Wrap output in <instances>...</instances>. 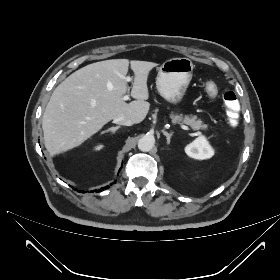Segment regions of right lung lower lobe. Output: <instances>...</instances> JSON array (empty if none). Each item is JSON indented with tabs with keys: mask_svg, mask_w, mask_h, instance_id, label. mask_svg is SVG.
<instances>
[{
	"mask_svg": "<svg viewBox=\"0 0 280 280\" xmlns=\"http://www.w3.org/2000/svg\"><path fill=\"white\" fill-rule=\"evenodd\" d=\"M121 169V168H120ZM110 185H112V184H110ZM110 186L108 185V186H106L105 188H109ZM101 191H103V189L101 188V189H99V190H96V192H101Z\"/></svg>",
	"mask_w": 280,
	"mask_h": 280,
	"instance_id": "obj_1",
	"label": "right lung lower lobe"
}]
</instances>
